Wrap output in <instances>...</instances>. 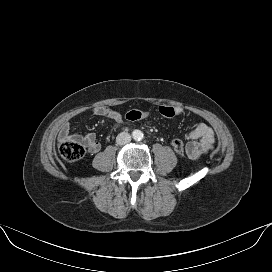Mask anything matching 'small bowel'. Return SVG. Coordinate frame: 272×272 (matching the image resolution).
<instances>
[{
	"mask_svg": "<svg viewBox=\"0 0 272 272\" xmlns=\"http://www.w3.org/2000/svg\"><path fill=\"white\" fill-rule=\"evenodd\" d=\"M175 113L176 116H182L184 110L181 107H176ZM92 114L95 116L108 117L116 123L123 122V115L119 111L108 106L96 107L92 110ZM58 138L61 142L66 140L77 141L86 146L88 151L92 154L97 153L100 150V144L96 139L95 133L89 132L85 135L71 134L69 122L62 124ZM186 139L188 140L185 147L186 154L191 159H198L212 149L215 143V133L208 125L198 123L186 134Z\"/></svg>",
	"mask_w": 272,
	"mask_h": 272,
	"instance_id": "small-bowel-1",
	"label": "small bowel"
}]
</instances>
